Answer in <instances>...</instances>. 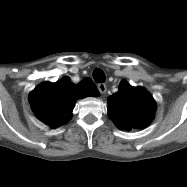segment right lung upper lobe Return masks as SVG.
Returning <instances> with one entry per match:
<instances>
[{
	"mask_svg": "<svg viewBox=\"0 0 187 187\" xmlns=\"http://www.w3.org/2000/svg\"><path fill=\"white\" fill-rule=\"evenodd\" d=\"M89 82V90L81 83H71L69 77L56 83H42L29 94L31 108L42 122L56 128L71 119L76 99L99 95L94 83L90 79Z\"/></svg>",
	"mask_w": 187,
	"mask_h": 187,
	"instance_id": "1",
	"label": "right lung upper lobe"
}]
</instances>
